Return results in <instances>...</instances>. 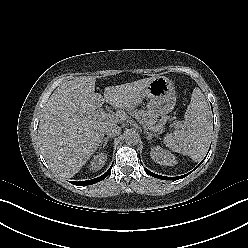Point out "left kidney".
Returning a JSON list of instances; mask_svg holds the SVG:
<instances>
[{
	"mask_svg": "<svg viewBox=\"0 0 248 248\" xmlns=\"http://www.w3.org/2000/svg\"><path fill=\"white\" fill-rule=\"evenodd\" d=\"M151 158L160 165L174 166L177 164L175 156L160 146L151 148Z\"/></svg>",
	"mask_w": 248,
	"mask_h": 248,
	"instance_id": "left-kidney-1",
	"label": "left kidney"
}]
</instances>
